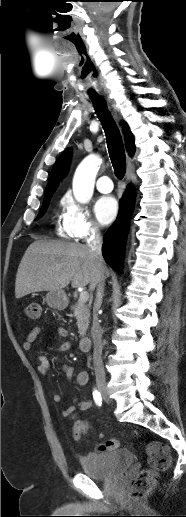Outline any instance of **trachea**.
<instances>
[{"instance_id":"3493384b","label":"trachea","mask_w":186,"mask_h":517,"mask_svg":"<svg viewBox=\"0 0 186 517\" xmlns=\"http://www.w3.org/2000/svg\"><path fill=\"white\" fill-rule=\"evenodd\" d=\"M90 99L106 134L107 146L115 175L117 178L122 179L126 172V157L120 132L108 111L105 100L94 94L90 95Z\"/></svg>"}]
</instances>
